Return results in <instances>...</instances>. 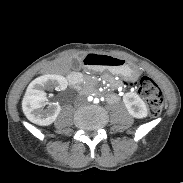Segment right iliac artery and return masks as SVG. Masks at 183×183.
<instances>
[{
	"label": "right iliac artery",
	"instance_id": "82829eb1",
	"mask_svg": "<svg viewBox=\"0 0 183 183\" xmlns=\"http://www.w3.org/2000/svg\"><path fill=\"white\" fill-rule=\"evenodd\" d=\"M93 100V97L92 96H89L88 97V101H92Z\"/></svg>",
	"mask_w": 183,
	"mask_h": 183
}]
</instances>
